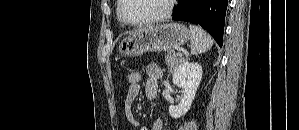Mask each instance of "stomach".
<instances>
[{"instance_id": "0dacf381", "label": "stomach", "mask_w": 299, "mask_h": 130, "mask_svg": "<svg viewBox=\"0 0 299 130\" xmlns=\"http://www.w3.org/2000/svg\"><path fill=\"white\" fill-rule=\"evenodd\" d=\"M189 29L180 23L149 26L130 33L120 43L118 54L139 56L150 51H169L190 39Z\"/></svg>"}]
</instances>
